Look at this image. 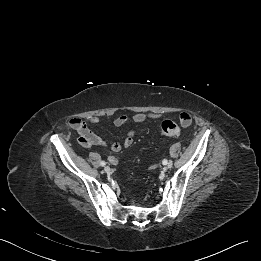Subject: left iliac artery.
<instances>
[{"label":"left iliac artery","mask_w":261,"mask_h":261,"mask_svg":"<svg viewBox=\"0 0 261 261\" xmlns=\"http://www.w3.org/2000/svg\"><path fill=\"white\" fill-rule=\"evenodd\" d=\"M168 161L166 159L163 160V164L165 165ZM172 162V161H171Z\"/></svg>","instance_id":"1"}]
</instances>
